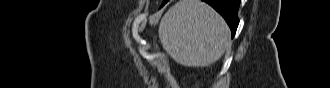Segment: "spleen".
I'll use <instances>...</instances> for the list:
<instances>
[{
    "mask_svg": "<svg viewBox=\"0 0 330 88\" xmlns=\"http://www.w3.org/2000/svg\"><path fill=\"white\" fill-rule=\"evenodd\" d=\"M163 49L184 66H206L219 60L229 46L224 19L200 0H180L159 25Z\"/></svg>",
    "mask_w": 330,
    "mask_h": 88,
    "instance_id": "3e777b00",
    "label": "spleen"
}]
</instances>
